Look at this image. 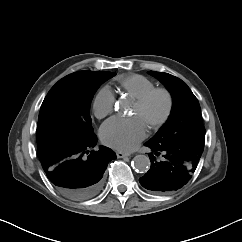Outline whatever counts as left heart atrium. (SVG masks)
<instances>
[{"instance_id":"left-heart-atrium-1","label":"left heart atrium","mask_w":242,"mask_h":242,"mask_svg":"<svg viewBox=\"0 0 242 242\" xmlns=\"http://www.w3.org/2000/svg\"><path fill=\"white\" fill-rule=\"evenodd\" d=\"M105 144L123 152L134 150L145 138L146 127L134 117L114 116L108 119L100 129Z\"/></svg>"}]
</instances>
